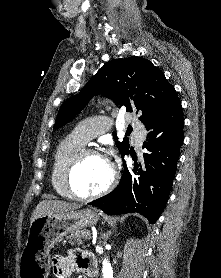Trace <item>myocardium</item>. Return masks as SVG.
Masks as SVG:
<instances>
[{
	"instance_id": "1",
	"label": "myocardium",
	"mask_w": 221,
	"mask_h": 278,
	"mask_svg": "<svg viewBox=\"0 0 221 278\" xmlns=\"http://www.w3.org/2000/svg\"><path fill=\"white\" fill-rule=\"evenodd\" d=\"M90 155H99L104 157L99 151H97L94 148L84 147L80 149L78 152L74 154V156L70 159L66 170H65V185L67 188V191L71 195L72 198L77 199L79 201H89L95 198H98L100 196L105 195L109 191H111L118 182V171L113 162H111L109 159L104 157L110 167V179L106 186L102 188L101 190L91 193V194H82L80 193L77 188L74 185V176L76 173V170L81 163L83 159Z\"/></svg>"
}]
</instances>
